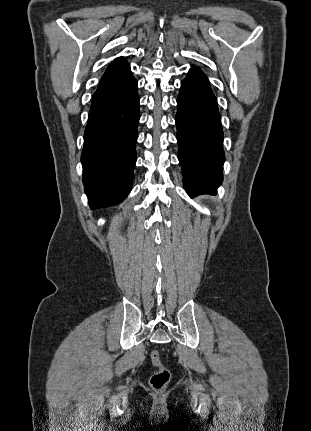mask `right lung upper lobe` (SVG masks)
Returning <instances> with one entry per match:
<instances>
[{
  "instance_id": "obj_1",
  "label": "right lung upper lobe",
  "mask_w": 311,
  "mask_h": 431,
  "mask_svg": "<svg viewBox=\"0 0 311 431\" xmlns=\"http://www.w3.org/2000/svg\"><path fill=\"white\" fill-rule=\"evenodd\" d=\"M129 68V65L127 64V61L125 58H117L115 59L107 68L106 72L104 73L103 77H107L116 73H120L124 70H127Z\"/></svg>"
}]
</instances>
